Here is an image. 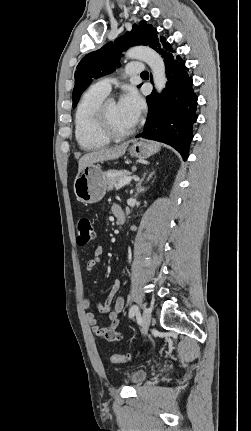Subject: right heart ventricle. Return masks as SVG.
Wrapping results in <instances>:
<instances>
[{"instance_id": "obj_1", "label": "right heart ventricle", "mask_w": 251, "mask_h": 431, "mask_svg": "<svg viewBox=\"0 0 251 431\" xmlns=\"http://www.w3.org/2000/svg\"><path fill=\"white\" fill-rule=\"evenodd\" d=\"M107 94L91 86L82 95L75 111V137L85 151H92L109 144V138L96 128V112Z\"/></svg>"}]
</instances>
